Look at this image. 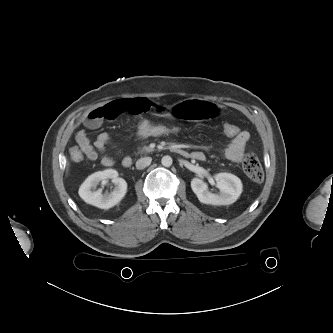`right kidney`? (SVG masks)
<instances>
[{"label": "right kidney", "mask_w": 333, "mask_h": 333, "mask_svg": "<svg viewBox=\"0 0 333 333\" xmlns=\"http://www.w3.org/2000/svg\"><path fill=\"white\" fill-rule=\"evenodd\" d=\"M112 179L115 189L111 193H102V190L92 191L101 181ZM127 192V183L123 178L118 177L114 169L98 171L90 175L80 186L79 196L88 204L101 209H109L118 204Z\"/></svg>", "instance_id": "ca27d5eb"}]
</instances>
